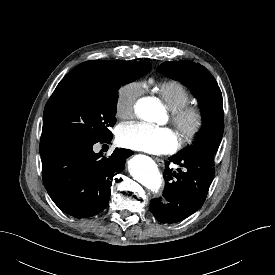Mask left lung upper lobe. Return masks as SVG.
<instances>
[{
  "label": "left lung upper lobe",
  "mask_w": 275,
  "mask_h": 275,
  "mask_svg": "<svg viewBox=\"0 0 275 275\" xmlns=\"http://www.w3.org/2000/svg\"><path fill=\"white\" fill-rule=\"evenodd\" d=\"M158 70L189 87L202 112L203 123L195 141L176 155H215L223 135L224 120L222 93L214 77L204 66L191 61L164 62Z\"/></svg>",
  "instance_id": "1"
}]
</instances>
